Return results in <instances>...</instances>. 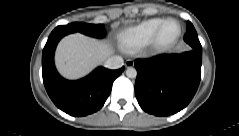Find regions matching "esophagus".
<instances>
[{
  "label": "esophagus",
  "instance_id": "1",
  "mask_svg": "<svg viewBox=\"0 0 239 136\" xmlns=\"http://www.w3.org/2000/svg\"><path fill=\"white\" fill-rule=\"evenodd\" d=\"M133 65H134V61L131 60V59L127 60L126 63H125V66H126V67H131V66H133Z\"/></svg>",
  "mask_w": 239,
  "mask_h": 136
}]
</instances>
